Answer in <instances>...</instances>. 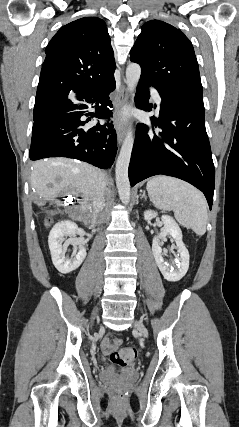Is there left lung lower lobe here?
I'll return each instance as SVG.
<instances>
[{"label": "left lung lower lobe", "mask_w": 239, "mask_h": 427, "mask_svg": "<svg viewBox=\"0 0 239 427\" xmlns=\"http://www.w3.org/2000/svg\"><path fill=\"white\" fill-rule=\"evenodd\" d=\"M149 86L152 85L140 80L135 96L137 108L145 111L153 107L147 101ZM157 90L162 98L159 117L150 119L162 131L149 137L148 126L137 125L129 165L130 184L134 186L158 174L177 177L201 190L211 209L215 170L205 129L204 105Z\"/></svg>", "instance_id": "0a47b994"}]
</instances>
